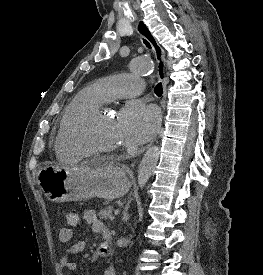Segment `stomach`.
Wrapping results in <instances>:
<instances>
[{
    "label": "stomach",
    "mask_w": 263,
    "mask_h": 275,
    "mask_svg": "<svg viewBox=\"0 0 263 275\" xmlns=\"http://www.w3.org/2000/svg\"><path fill=\"white\" fill-rule=\"evenodd\" d=\"M37 181L44 195L57 203L93 197L109 201L130 188L126 171L111 163L96 168L48 165L38 172Z\"/></svg>",
    "instance_id": "1"
}]
</instances>
